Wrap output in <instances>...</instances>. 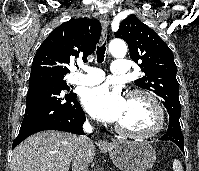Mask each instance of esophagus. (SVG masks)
<instances>
[{"mask_svg": "<svg viewBox=\"0 0 199 171\" xmlns=\"http://www.w3.org/2000/svg\"><path fill=\"white\" fill-rule=\"evenodd\" d=\"M101 22H102V28H103V35L105 36L109 23H110L108 15H104ZM109 144L110 143L105 140H100L98 142L99 146H108Z\"/></svg>", "mask_w": 199, "mask_h": 171, "instance_id": "esophagus-1", "label": "esophagus"}]
</instances>
